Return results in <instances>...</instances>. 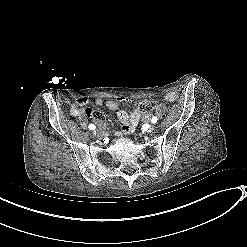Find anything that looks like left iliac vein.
<instances>
[{"label":"left iliac vein","mask_w":247,"mask_h":247,"mask_svg":"<svg viewBox=\"0 0 247 247\" xmlns=\"http://www.w3.org/2000/svg\"><path fill=\"white\" fill-rule=\"evenodd\" d=\"M155 129V126L154 125H151L148 130H147V133H152Z\"/></svg>","instance_id":"4c4485c4"}]
</instances>
